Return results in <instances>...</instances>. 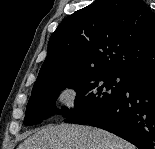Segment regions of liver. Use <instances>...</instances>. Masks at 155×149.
<instances>
[{
	"instance_id": "obj_1",
	"label": "liver",
	"mask_w": 155,
	"mask_h": 149,
	"mask_svg": "<svg viewBox=\"0 0 155 149\" xmlns=\"http://www.w3.org/2000/svg\"><path fill=\"white\" fill-rule=\"evenodd\" d=\"M18 149H135V146L102 129L61 124L42 128Z\"/></svg>"
}]
</instances>
